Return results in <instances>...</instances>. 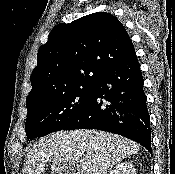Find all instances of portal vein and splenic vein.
<instances>
[{"label":"portal vein and splenic vein","mask_w":175,"mask_h":174,"mask_svg":"<svg viewBox=\"0 0 175 174\" xmlns=\"http://www.w3.org/2000/svg\"><path fill=\"white\" fill-rule=\"evenodd\" d=\"M82 169L83 170H87L88 169V166L86 164H82Z\"/></svg>","instance_id":"obj_1"}]
</instances>
